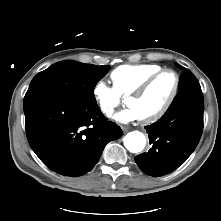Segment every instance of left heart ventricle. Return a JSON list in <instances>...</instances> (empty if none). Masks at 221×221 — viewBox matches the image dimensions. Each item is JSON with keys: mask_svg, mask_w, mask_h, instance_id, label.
I'll return each instance as SVG.
<instances>
[{"mask_svg": "<svg viewBox=\"0 0 221 221\" xmlns=\"http://www.w3.org/2000/svg\"><path fill=\"white\" fill-rule=\"evenodd\" d=\"M174 86V76L167 72L159 76L140 97L127 99L126 104L137 110L140 118H146L160 110L167 102Z\"/></svg>", "mask_w": 221, "mask_h": 221, "instance_id": "1", "label": "left heart ventricle"}]
</instances>
